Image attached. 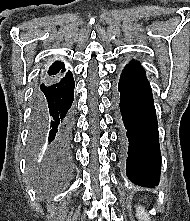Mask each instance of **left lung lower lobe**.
Returning <instances> with one entry per match:
<instances>
[{"label":"left lung lower lobe","mask_w":190,"mask_h":221,"mask_svg":"<svg viewBox=\"0 0 190 221\" xmlns=\"http://www.w3.org/2000/svg\"><path fill=\"white\" fill-rule=\"evenodd\" d=\"M118 92L128 137L127 176L139 186H157L161 168L158 123L151 86L139 62L125 66Z\"/></svg>","instance_id":"obj_1"}]
</instances>
